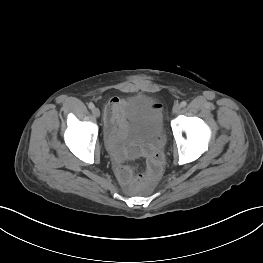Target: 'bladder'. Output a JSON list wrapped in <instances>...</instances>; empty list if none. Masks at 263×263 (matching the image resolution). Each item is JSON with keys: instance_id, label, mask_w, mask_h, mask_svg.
I'll return each instance as SVG.
<instances>
[{"instance_id": "31cf9c89", "label": "bladder", "mask_w": 263, "mask_h": 263, "mask_svg": "<svg viewBox=\"0 0 263 263\" xmlns=\"http://www.w3.org/2000/svg\"><path fill=\"white\" fill-rule=\"evenodd\" d=\"M162 129V114L155 102L139 95L130 99L124 107L123 131L140 143L152 141Z\"/></svg>"}]
</instances>
